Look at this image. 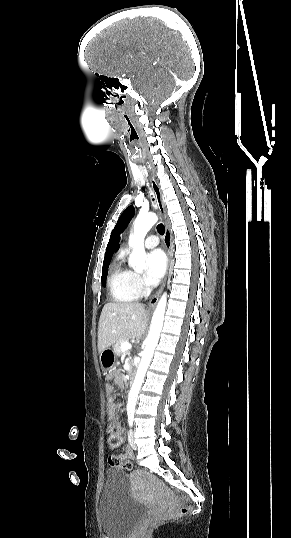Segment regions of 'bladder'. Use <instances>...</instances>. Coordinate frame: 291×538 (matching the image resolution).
Listing matches in <instances>:
<instances>
[{"instance_id":"1","label":"bladder","mask_w":291,"mask_h":538,"mask_svg":"<svg viewBox=\"0 0 291 538\" xmlns=\"http://www.w3.org/2000/svg\"><path fill=\"white\" fill-rule=\"evenodd\" d=\"M148 511L133 498L127 475L118 469L107 471L98 506V519L107 538H126Z\"/></svg>"}]
</instances>
